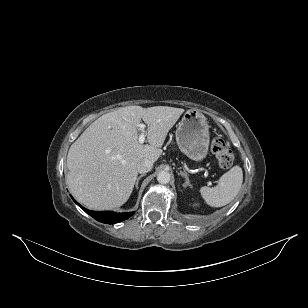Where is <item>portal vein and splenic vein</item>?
<instances>
[{
    "mask_svg": "<svg viewBox=\"0 0 308 308\" xmlns=\"http://www.w3.org/2000/svg\"><path fill=\"white\" fill-rule=\"evenodd\" d=\"M139 127H140V130H141V134L139 135L138 141H139L140 144H143L144 141H145V137H146L145 125L141 123V124H139Z\"/></svg>",
    "mask_w": 308,
    "mask_h": 308,
    "instance_id": "portal-vein-and-splenic-vein-1",
    "label": "portal vein and splenic vein"
}]
</instances>
